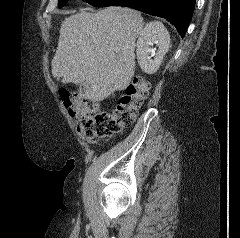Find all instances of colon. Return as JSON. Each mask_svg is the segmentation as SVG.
<instances>
[{
	"mask_svg": "<svg viewBox=\"0 0 240 238\" xmlns=\"http://www.w3.org/2000/svg\"><path fill=\"white\" fill-rule=\"evenodd\" d=\"M149 92V84L141 75H135L119 97L112 112L88 106L77 93L60 89V97L69 114L77 119L79 133L88 139L111 137L135 120L136 114Z\"/></svg>",
	"mask_w": 240,
	"mask_h": 238,
	"instance_id": "1",
	"label": "colon"
}]
</instances>
